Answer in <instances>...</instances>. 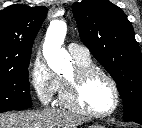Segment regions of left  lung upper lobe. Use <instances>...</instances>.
<instances>
[{"label":"left lung upper lobe","instance_id":"obj_1","mask_svg":"<svg viewBox=\"0 0 142 128\" xmlns=\"http://www.w3.org/2000/svg\"><path fill=\"white\" fill-rule=\"evenodd\" d=\"M72 9L82 42L117 83L124 121L142 124V59L132 24L108 0H83Z\"/></svg>","mask_w":142,"mask_h":128}]
</instances>
